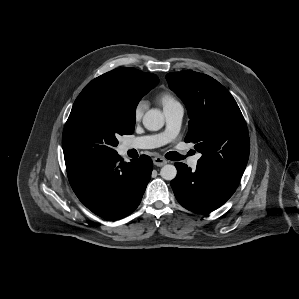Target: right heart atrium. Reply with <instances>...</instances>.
I'll return each instance as SVG.
<instances>
[{"label": "right heart atrium", "mask_w": 299, "mask_h": 299, "mask_svg": "<svg viewBox=\"0 0 299 299\" xmlns=\"http://www.w3.org/2000/svg\"><path fill=\"white\" fill-rule=\"evenodd\" d=\"M145 109H146V103L144 101H139L135 105L134 110H133V117H134L135 121H140L141 120Z\"/></svg>", "instance_id": "1"}]
</instances>
